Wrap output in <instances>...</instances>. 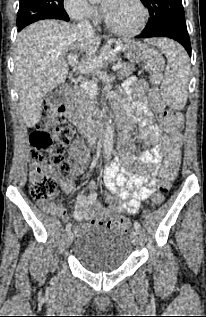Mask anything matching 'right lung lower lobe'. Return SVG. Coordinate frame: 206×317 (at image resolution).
<instances>
[{"label": "right lung lower lobe", "instance_id": "right-lung-lower-lobe-1", "mask_svg": "<svg viewBox=\"0 0 206 317\" xmlns=\"http://www.w3.org/2000/svg\"><path fill=\"white\" fill-rule=\"evenodd\" d=\"M65 21H69V17H67V18L65 19Z\"/></svg>", "mask_w": 206, "mask_h": 317}]
</instances>
